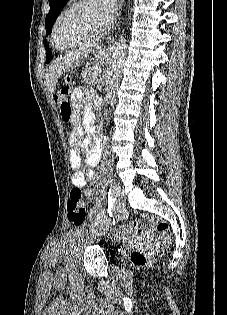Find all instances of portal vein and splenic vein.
<instances>
[{"mask_svg": "<svg viewBox=\"0 0 227 315\" xmlns=\"http://www.w3.org/2000/svg\"><path fill=\"white\" fill-rule=\"evenodd\" d=\"M93 73H94V74H98V71H94Z\"/></svg>", "mask_w": 227, "mask_h": 315, "instance_id": "obj_1", "label": "portal vein and splenic vein"}]
</instances>
